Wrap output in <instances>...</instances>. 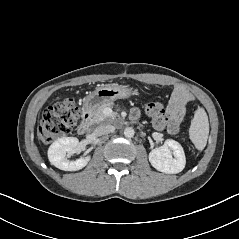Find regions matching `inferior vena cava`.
I'll return each mask as SVG.
<instances>
[{
  "instance_id": "inferior-vena-cava-1",
  "label": "inferior vena cava",
  "mask_w": 239,
  "mask_h": 239,
  "mask_svg": "<svg viewBox=\"0 0 239 239\" xmlns=\"http://www.w3.org/2000/svg\"><path fill=\"white\" fill-rule=\"evenodd\" d=\"M115 131V127L113 125H100L96 128L95 133L96 135H106L109 133H113Z\"/></svg>"
}]
</instances>
